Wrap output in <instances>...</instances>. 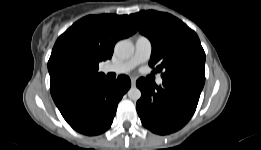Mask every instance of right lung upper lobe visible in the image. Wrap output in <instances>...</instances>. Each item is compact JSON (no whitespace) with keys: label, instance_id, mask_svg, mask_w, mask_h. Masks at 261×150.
I'll return each instance as SVG.
<instances>
[{"label":"right lung upper lobe","instance_id":"1","mask_svg":"<svg viewBox=\"0 0 261 150\" xmlns=\"http://www.w3.org/2000/svg\"><path fill=\"white\" fill-rule=\"evenodd\" d=\"M137 31L128 15H89L67 29L56 41L48 70L54 102L67 94L106 79L100 61L110 59L115 43Z\"/></svg>","mask_w":261,"mask_h":150}]
</instances>
